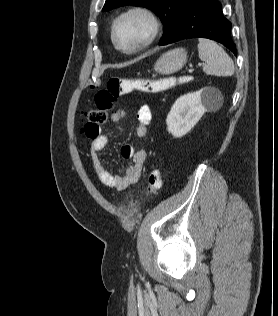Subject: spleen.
<instances>
[{"label": "spleen", "mask_w": 278, "mask_h": 316, "mask_svg": "<svg viewBox=\"0 0 278 316\" xmlns=\"http://www.w3.org/2000/svg\"><path fill=\"white\" fill-rule=\"evenodd\" d=\"M199 58L206 62L203 71L209 75L232 76L235 72L233 60L214 41L199 39Z\"/></svg>", "instance_id": "3e777b00"}]
</instances>
